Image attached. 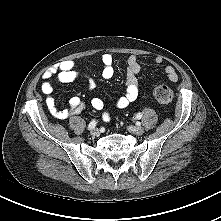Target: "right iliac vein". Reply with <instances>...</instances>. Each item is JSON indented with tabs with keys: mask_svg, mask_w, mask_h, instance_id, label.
I'll list each match as a JSON object with an SVG mask.
<instances>
[{
	"mask_svg": "<svg viewBox=\"0 0 221 221\" xmlns=\"http://www.w3.org/2000/svg\"><path fill=\"white\" fill-rule=\"evenodd\" d=\"M90 133H91L92 136H98L99 135V130L97 128H93L90 131Z\"/></svg>",
	"mask_w": 221,
	"mask_h": 221,
	"instance_id": "1",
	"label": "right iliac vein"
}]
</instances>
